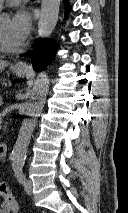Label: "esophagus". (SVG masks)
<instances>
[{"label": "esophagus", "mask_w": 128, "mask_h": 213, "mask_svg": "<svg viewBox=\"0 0 128 213\" xmlns=\"http://www.w3.org/2000/svg\"><path fill=\"white\" fill-rule=\"evenodd\" d=\"M16 69H20V70H26L28 69V65L25 62H17L14 66Z\"/></svg>", "instance_id": "obj_1"}]
</instances>
